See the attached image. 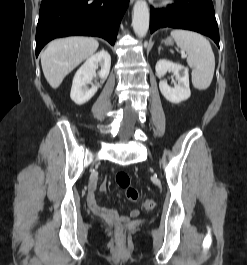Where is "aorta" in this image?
Masks as SVG:
<instances>
[{
  "label": "aorta",
  "mask_w": 247,
  "mask_h": 265,
  "mask_svg": "<svg viewBox=\"0 0 247 265\" xmlns=\"http://www.w3.org/2000/svg\"><path fill=\"white\" fill-rule=\"evenodd\" d=\"M132 26L138 37L146 36L149 29V8L145 0H137L134 4Z\"/></svg>",
  "instance_id": "762f6f07"
}]
</instances>
